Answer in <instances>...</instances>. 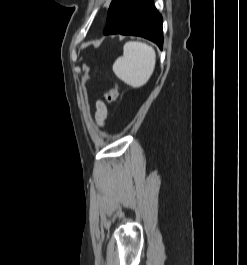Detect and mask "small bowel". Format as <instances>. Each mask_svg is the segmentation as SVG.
Segmentation results:
<instances>
[{
	"instance_id": "1",
	"label": "small bowel",
	"mask_w": 247,
	"mask_h": 265,
	"mask_svg": "<svg viewBox=\"0 0 247 265\" xmlns=\"http://www.w3.org/2000/svg\"><path fill=\"white\" fill-rule=\"evenodd\" d=\"M107 117V108L102 101L96 103V119L100 125H103Z\"/></svg>"
}]
</instances>
